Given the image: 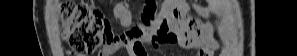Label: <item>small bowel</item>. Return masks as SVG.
<instances>
[{
	"instance_id": "obj_1",
	"label": "small bowel",
	"mask_w": 297,
	"mask_h": 56,
	"mask_svg": "<svg viewBox=\"0 0 297 56\" xmlns=\"http://www.w3.org/2000/svg\"><path fill=\"white\" fill-rule=\"evenodd\" d=\"M195 9L200 15H207L205 9ZM188 11L189 2L186 0H165L160 13L156 14L155 2L148 1L144 7L142 24L130 28L131 11L126 5L117 4L114 8L115 16L124 27L130 29L112 36L100 55H114L124 48L131 56H147L146 45L159 47L161 43H177L196 56H213L220 47V41L211 35L213 25L191 19Z\"/></svg>"
}]
</instances>
